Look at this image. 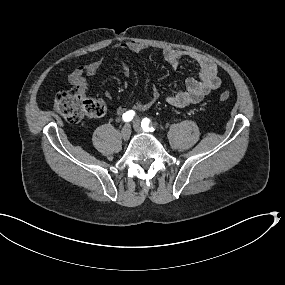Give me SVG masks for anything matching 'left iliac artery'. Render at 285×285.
I'll list each match as a JSON object with an SVG mask.
<instances>
[{"label": "left iliac artery", "instance_id": "44dca946", "mask_svg": "<svg viewBox=\"0 0 285 285\" xmlns=\"http://www.w3.org/2000/svg\"><path fill=\"white\" fill-rule=\"evenodd\" d=\"M150 120L148 118H144L141 122V127L144 131H150L153 132L155 129L153 126H149Z\"/></svg>", "mask_w": 285, "mask_h": 285}]
</instances>
